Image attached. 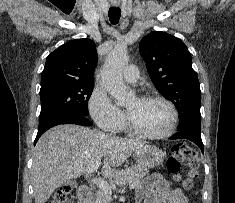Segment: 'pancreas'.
I'll list each match as a JSON object with an SVG mask.
<instances>
[{
    "label": "pancreas",
    "instance_id": "1",
    "mask_svg": "<svg viewBox=\"0 0 235 203\" xmlns=\"http://www.w3.org/2000/svg\"><path fill=\"white\" fill-rule=\"evenodd\" d=\"M147 174H149L147 168L142 167L140 165L131 166L116 174L112 183L119 185H124L126 183H134L135 185H137ZM111 200V196L105 194L101 190H98L93 195L92 203H110Z\"/></svg>",
    "mask_w": 235,
    "mask_h": 203
}]
</instances>
